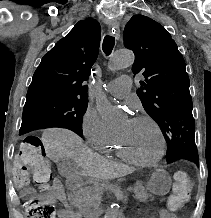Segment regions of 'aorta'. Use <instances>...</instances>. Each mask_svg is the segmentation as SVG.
<instances>
[{"label": "aorta", "instance_id": "aorta-1", "mask_svg": "<svg viewBox=\"0 0 211 218\" xmlns=\"http://www.w3.org/2000/svg\"><path fill=\"white\" fill-rule=\"evenodd\" d=\"M134 62V55L129 50H118L116 51L109 63L108 69L110 71H116L130 67ZM96 108L101 115L105 128L109 131L118 130L123 122L124 116L110 105L107 98L104 95H99L96 100ZM119 208L114 205L108 208L105 218H118Z\"/></svg>", "mask_w": 211, "mask_h": 218}]
</instances>
